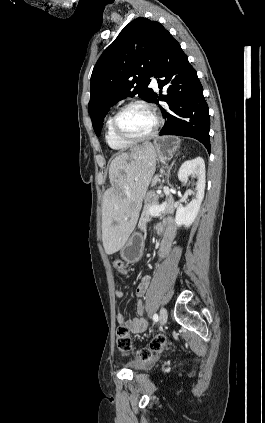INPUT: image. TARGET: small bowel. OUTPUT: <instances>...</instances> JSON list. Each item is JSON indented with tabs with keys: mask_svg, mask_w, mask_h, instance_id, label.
<instances>
[{
	"mask_svg": "<svg viewBox=\"0 0 265 423\" xmlns=\"http://www.w3.org/2000/svg\"><path fill=\"white\" fill-rule=\"evenodd\" d=\"M156 230L162 235V241L159 248V259H163L170 253L173 246L176 236V226L171 218H167L156 226ZM119 273L125 277L129 276L128 270L125 267L119 271ZM149 281L150 278L148 276L140 278L135 290L137 297L142 298L145 296L149 286ZM116 295L121 298L123 293L121 291H117ZM136 313L138 317L135 318H128L124 314H118L116 319L119 324H125L132 333L139 334L144 332L147 328V320L143 317L144 305L141 300H139L136 304Z\"/></svg>",
	"mask_w": 265,
	"mask_h": 423,
	"instance_id": "small-bowel-1",
	"label": "small bowel"
}]
</instances>
